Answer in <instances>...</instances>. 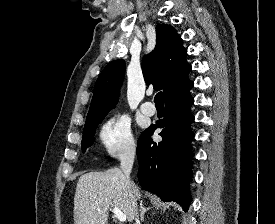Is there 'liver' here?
<instances>
[{
  "label": "liver",
  "mask_w": 275,
  "mask_h": 224,
  "mask_svg": "<svg viewBox=\"0 0 275 224\" xmlns=\"http://www.w3.org/2000/svg\"><path fill=\"white\" fill-rule=\"evenodd\" d=\"M140 196L138 187L118 168L83 174L74 196V224H107L108 210L113 207L131 223L136 217L133 201Z\"/></svg>",
  "instance_id": "1"
}]
</instances>
